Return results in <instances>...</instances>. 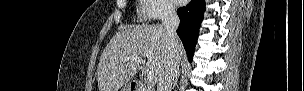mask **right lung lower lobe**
Listing matches in <instances>:
<instances>
[{"mask_svg": "<svg viewBox=\"0 0 304 91\" xmlns=\"http://www.w3.org/2000/svg\"><path fill=\"white\" fill-rule=\"evenodd\" d=\"M204 7V0H191L187 6L177 10V14L180 18L177 34L184 45L190 62H192L195 45L197 43Z\"/></svg>", "mask_w": 304, "mask_h": 91, "instance_id": "right-lung-lower-lobe-1", "label": "right lung lower lobe"}]
</instances>
